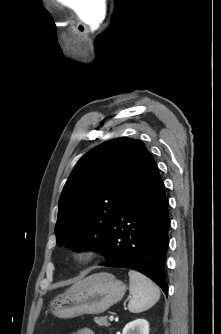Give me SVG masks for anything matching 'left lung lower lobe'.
I'll list each match as a JSON object with an SVG mask.
<instances>
[{
  "label": "left lung lower lobe",
  "mask_w": 221,
  "mask_h": 334,
  "mask_svg": "<svg viewBox=\"0 0 221 334\" xmlns=\"http://www.w3.org/2000/svg\"><path fill=\"white\" fill-rule=\"evenodd\" d=\"M168 199L153 162L128 194L110 227L101 265L130 268L168 293L165 262L169 245Z\"/></svg>",
  "instance_id": "0a47b994"
}]
</instances>
